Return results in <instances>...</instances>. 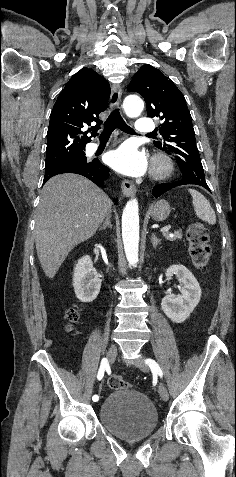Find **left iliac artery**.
<instances>
[{
    "instance_id": "1",
    "label": "left iliac artery",
    "mask_w": 236,
    "mask_h": 477,
    "mask_svg": "<svg viewBox=\"0 0 236 477\" xmlns=\"http://www.w3.org/2000/svg\"><path fill=\"white\" fill-rule=\"evenodd\" d=\"M145 363L150 367L153 373H157L160 377L163 376V372L155 360L148 358L145 360Z\"/></svg>"
}]
</instances>
